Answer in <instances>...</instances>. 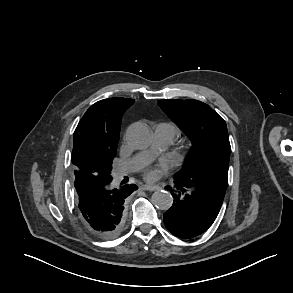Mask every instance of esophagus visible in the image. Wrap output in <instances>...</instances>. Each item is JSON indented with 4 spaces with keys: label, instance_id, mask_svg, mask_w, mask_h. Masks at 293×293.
<instances>
[{
    "label": "esophagus",
    "instance_id": "34e87169",
    "mask_svg": "<svg viewBox=\"0 0 293 293\" xmlns=\"http://www.w3.org/2000/svg\"><path fill=\"white\" fill-rule=\"evenodd\" d=\"M140 189L145 190V191H155V190L160 189V187L156 186V185H147V184H145V185L140 186Z\"/></svg>",
    "mask_w": 293,
    "mask_h": 293
}]
</instances>
